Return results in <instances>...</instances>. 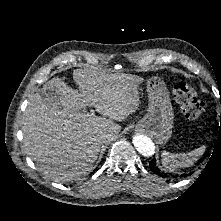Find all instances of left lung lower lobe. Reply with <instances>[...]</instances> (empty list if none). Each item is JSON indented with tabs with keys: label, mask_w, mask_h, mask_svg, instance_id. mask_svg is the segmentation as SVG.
I'll list each match as a JSON object with an SVG mask.
<instances>
[{
	"label": "left lung lower lobe",
	"mask_w": 221,
	"mask_h": 221,
	"mask_svg": "<svg viewBox=\"0 0 221 221\" xmlns=\"http://www.w3.org/2000/svg\"><path fill=\"white\" fill-rule=\"evenodd\" d=\"M149 167L152 170V172L157 174V175L164 176V177H166L168 175V173H164V172H161L159 170V168L156 166V160L155 159L150 161ZM189 175H191V173ZM184 176H186V174H184Z\"/></svg>",
	"instance_id": "0a47b994"
}]
</instances>
